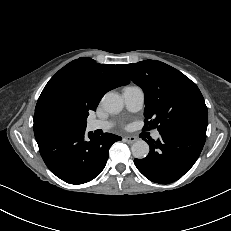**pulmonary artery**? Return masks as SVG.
I'll list each match as a JSON object with an SVG mask.
<instances>
[{"label":"pulmonary artery","mask_w":231,"mask_h":231,"mask_svg":"<svg viewBox=\"0 0 231 231\" xmlns=\"http://www.w3.org/2000/svg\"><path fill=\"white\" fill-rule=\"evenodd\" d=\"M125 106L131 112H137L142 109L144 105V92L138 86H131L124 89L122 93ZM111 127V123L105 120L92 119L88 121L87 128L90 131L94 130H107ZM157 139L160 136L159 131H155L153 134Z\"/></svg>","instance_id":"obj_1"}]
</instances>
